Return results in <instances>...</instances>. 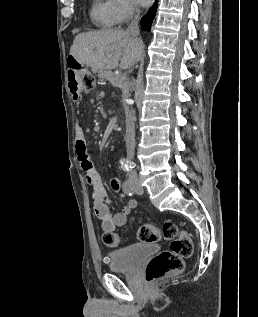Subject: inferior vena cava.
Here are the masks:
<instances>
[{
  "label": "inferior vena cava",
  "instance_id": "602c4592",
  "mask_svg": "<svg viewBox=\"0 0 258 317\" xmlns=\"http://www.w3.org/2000/svg\"><path fill=\"white\" fill-rule=\"evenodd\" d=\"M135 16L132 18L127 30L134 36V38H138L139 36V8H135ZM135 116L133 112H130L129 106H126V146H127V159L129 161V165H131L130 161L134 159L135 154V124H134ZM128 177L130 180H135L138 176L134 171L128 172Z\"/></svg>",
  "mask_w": 258,
  "mask_h": 317
}]
</instances>
